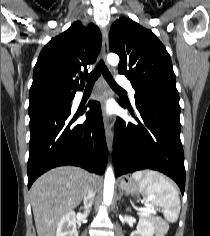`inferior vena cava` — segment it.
Here are the masks:
<instances>
[{
	"mask_svg": "<svg viewBox=\"0 0 210 236\" xmlns=\"http://www.w3.org/2000/svg\"><path fill=\"white\" fill-rule=\"evenodd\" d=\"M94 185L90 183L88 189L86 190V193L84 195V209L85 212L88 213L90 211V208L93 204V200L95 197V191L93 190Z\"/></svg>",
	"mask_w": 210,
	"mask_h": 236,
	"instance_id": "602c4592",
	"label": "inferior vena cava"
}]
</instances>
